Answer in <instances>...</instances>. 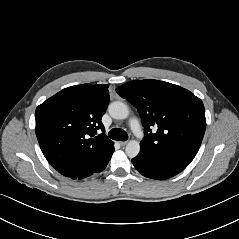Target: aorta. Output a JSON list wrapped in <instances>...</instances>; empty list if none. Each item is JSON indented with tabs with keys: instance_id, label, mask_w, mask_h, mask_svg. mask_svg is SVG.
<instances>
[{
	"instance_id": "obj_1",
	"label": "aorta",
	"mask_w": 239,
	"mask_h": 239,
	"mask_svg": "<svg viewBox=\"0 0 239 239\" xmlns=\"http://www.w3.org/2000/svg\"><path fill=\"white\" fill-rule=\"evenodd\" d=\"M109 114L112 118L123 120L129 115V109L127 105L120 101L112 102L108 107ZM126 154L130 158L136 157L140 152V144L137 140H130L126 145Z\"/></svg>"
}]
</instances>
